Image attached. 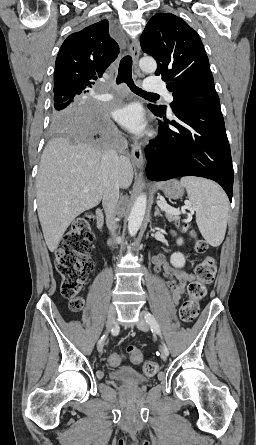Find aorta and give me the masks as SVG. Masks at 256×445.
I'll list each match as a JSON object with an SVG mask.
<instances>
[{"label": "aorta", "mask_w": 256, "mask_h": 445, "mask_svg": "<svg viewBox=\"0 0 256 445\" xmlns=\"http://www.w3.org/2000/svg\"><path fill=\"white\" fill-rule=\"evenodd\" d=\"M139 67L145 73H154L157 69L156 61L150 57L141 58L139 61ZM147 205V198L145 194H141L137 197L131 213L128 218V231L131 236H135L144 219Z\"/></svg>", "instance_id": "obj_1"}]
</instances>
